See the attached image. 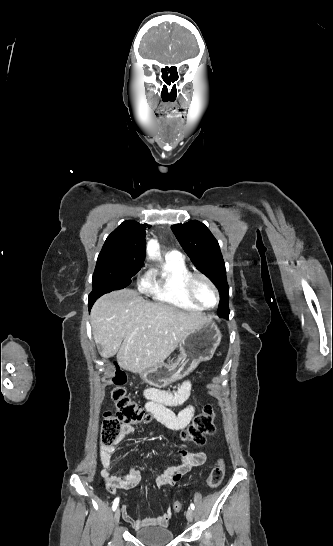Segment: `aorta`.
Instances as JSON below:
<instances>
[{
	"label": "aorta",
	"instance_id": "obj_1",
	"mask_svg": "<svg viewBox=\"0 0 333 546\" xmlns=\"http://www.w3.org/2000/svg\"><path fill=\"white\" fill-rule=\"evenodd\" d=\"M158 249H159V245L157 241L151 240L149 241L147 245V254L149 255V257L154 258L158 254Z\"/></svg>",
	"mask_w": 333,
	"mask_h": 546
}]
</instances>
